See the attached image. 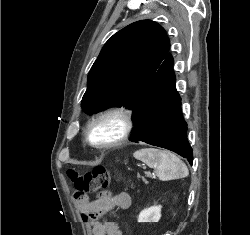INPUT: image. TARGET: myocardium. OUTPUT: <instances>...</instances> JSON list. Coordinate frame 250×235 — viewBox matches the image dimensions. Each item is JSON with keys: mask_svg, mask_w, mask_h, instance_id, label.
Returning a JSON list of instances; mask_svg holds the SVG:
<instances>
[{"mask_svg": "<svg viewBox=\"0 0 250 235\" xmlns=\"http://www.w3.org/2000/svg\"><path fill=\"white\" fill-rule=\"evenodd\" d=\"M108 118H115L120 122V132L116 138L106 142L93 141L91 132L94 126ZM134 129V117L130 109L124 106H110L97 112L91 117L85 128V141L86 143L97 150H109L124 144L131 136Z\"/></svg>", "mask_w": 250, "mask_h": 235, "instance_id": "f54148a6", "label": "myocardium"}]
</instances>
